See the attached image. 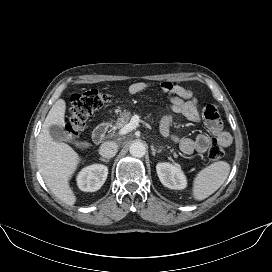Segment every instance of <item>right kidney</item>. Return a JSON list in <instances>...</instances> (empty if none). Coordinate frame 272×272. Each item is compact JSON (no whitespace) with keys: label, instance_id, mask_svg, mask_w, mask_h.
I'll list each match as a JSON object with an SVG mask.
<instances>
[{"label":"right kidney","instance_id":"right-kidney-1","mask_svg":"<svg viewBox=\"0 0 272 272\" xmlns=\"http://www.w3.org/2000/svg\"><path fill=\"white\" fill-rule=\"evenodd\" d=\"M107 175L106 166L94 164L81 170L77 177V185L84 192H95L105 183Z\"/></svg>","mask_w":272,"mask_h":272}]
</instances>
